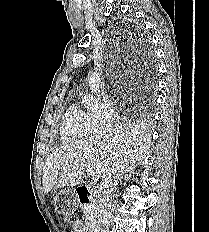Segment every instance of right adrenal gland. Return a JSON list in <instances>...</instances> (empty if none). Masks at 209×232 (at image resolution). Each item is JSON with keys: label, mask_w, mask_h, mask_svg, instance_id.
Instances as JSON below:
<instances>
[{"label": "right adrenal gland", "mask_w": 209, "mask_h": 232, "mask_svg": "<svg viewBox=\"0 0 209 232\" xmlns=\"http://www.w3.org/2000/svg\"><path fill=\"white\" fill-rule=\"evenodd\" d=\"M124 179H128V174H125V175L122 176V177H117L116 180H115V182H114V187H113V189L116 190V188H117L119 182H121V181L124 180Z\"/></svg>", "instance_id": "1"}]
</instances>
